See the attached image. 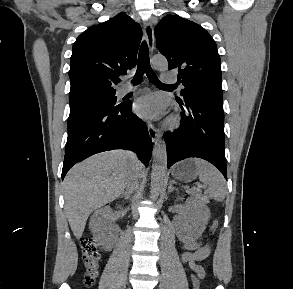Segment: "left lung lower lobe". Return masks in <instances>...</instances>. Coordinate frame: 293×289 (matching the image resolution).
<instances>
[{"label": "left lung lower lobe", "mask_w": 293, "mask_h": 289, "mask_svg": "<svg viewBox=\"0 0 293 289\" xmlns=\"http://www.w3.org/2000/svg\"><path fill=\"white\" fill-rule=\"evenodd\" d=\"M176 100L183 112L180 127L165 134L168 168L177 161L198 157L212 163L227 179L223 100L205 95Z\"/></svg>", "instance_id": "1"}]
</instances>
